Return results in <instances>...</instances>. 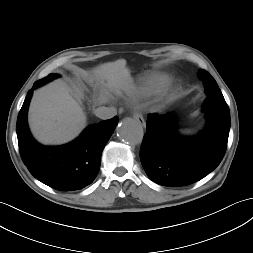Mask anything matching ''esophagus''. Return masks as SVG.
Masks as SVG:
<instances>
[{
  "instance_id": "34e87169",
  "label": "esophagus",
  "mask_w": 253,
  "mask_h": 253,
  "mask_svg": "<svg viewBox=\"0 0 253 253\" xmlns=\"http://www.w3.org/2000/svg\"><path fill=\"white\" fill-rule=\"evenodd\" d=\"M133 118L138 121L139 123H141L142 125H144V118L142 116V114L140 112H135L133 114Z\"/></svg>"
}]
</instances>
